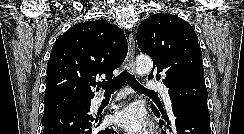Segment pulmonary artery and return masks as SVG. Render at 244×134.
I'll return each mask as SVG.
<instances>
[{
	"label": "pulmonary artery",
	"mask_w": 244,
	"mask_h": 134,
	"mask_svg": "<svg viewBox=\"0 0 244 134\" xmlns=\"http://www.w3.org/2000/svg\"><path fill=\"white\" fill-rule=\"evenodd\" d=\"M147 88L149 90H153V91H157V92L161 93V95L164 98V102H165L167 109L169 111H171V108H172L171 100H170L168 90L165 85H163L162 83L149 82L147 85ZM99 101H101V99H99Z\"/></svg>",
	"instance_id": "e3ab8cb5"
}]
</instances>
